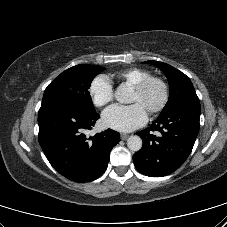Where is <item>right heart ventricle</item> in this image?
Returning a JSON list of instances; mask_svg holds the SVG:
<instances>
[{"label": "right heart ventricle", "mask_w": 227, "mask_h": 227, "mask_svg": "<svg viewBox=\"0 0 227 227\" xmlns=\"http://www.w3.org/2000/svg\"><path fill=\"white\" fill-rule=\"evenodd\" d=\"M149 76H151L150 71L140 67H129L113 74V77L119 82L132 86Z\"/></svg>", "instance_id": "1"}]
</instances>
